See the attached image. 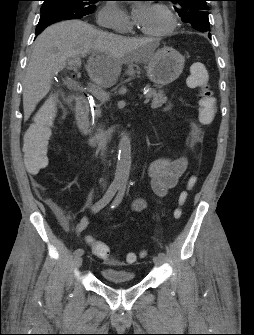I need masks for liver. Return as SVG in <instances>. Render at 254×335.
I'll return each mask as SVG.
<instances>
[{"mask_svg": "<svg viewBox=\"0 0 254 335\" xmlns=\"http://www.w3.org/2000/svg\"><path fill=\"white\" fill-rule=\"evenodd\" d=\"M149 39L130 38L96 29L80 20H68L47 27L36 39L23 83L24 119L51 89L54 75L70 58L88 59L92 81L103 88L118 80L123 64L147 63L154 52Z\"/></svg>", "mask_w": 254, "mask_h": 335, "instance_id": "6515ba94", "label": "liver"}]
</instances>
